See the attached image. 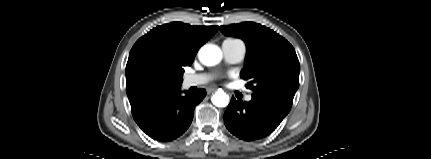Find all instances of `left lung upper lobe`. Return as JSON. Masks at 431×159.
Wrapping results in <instances>:
<instances>
[{
	"mask_svg": "<svg viewBox=\"0 0 431 159\" xmlns=\"http://www.w3.org/2000/svg\"><path fill=\"white\" fill-rule=\"evenodd\" d=\"M227 36L244 40L247 46L241 78L250 80L252 96L273 98L292 106L299 87L300 64L292 45L273 30L253 22L221 26Z\"/></svg>",
	"mask_w": 431,
	"mask_h": 159,
	"instance_id": "left-lung-upper-lobe-1",
	"label": "left lung upper lobe"
}]
</instances>
